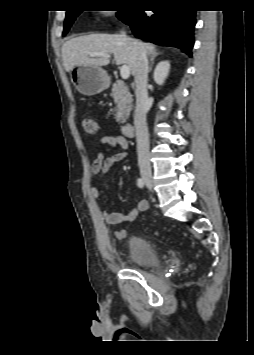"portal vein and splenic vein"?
I'll return each mask as SVG.
<instances>
[{
  "label": "portal vein and splenic vein",
  "instance_id": "obj_1",
  "mask_svg": "<svg viewBox=\"0 0 254 355\" xmlns=\"http://www.w3.org/2000/svg\"><path fill=\"white\" fill-rule=\"evenodd\" d=\"M91 57H105L110 58V54L102 53V52H92L90 53ZM120 75L122 79H128L130 76V69L127 65H122L120 68Z\"/></svg>",
  "mask_w": 254,
  "mask_h": 355
}]
</instances>
